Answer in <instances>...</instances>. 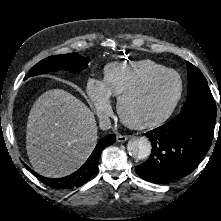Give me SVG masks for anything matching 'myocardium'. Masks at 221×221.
Instances as JSON below:
<instances>
[{"mask_svg": "<svg viewBox=\"0 0 221 221\" xmlns=\"http://www.w3.org/2000/svg\"><path fill=\"white\" fill-rule=\"evenodd\" d=\"M169 74L176 76L178 79V83H179L178 92H177L176 96L174 97V99L172 100V102L170 103V105L165 110H163L161 113H159L158 115H156L154 117L143 119V120H138V119L132 118L126 111L127 103L130 100H132L133 98H135L136 96H138L141 93H143L144 91H146L155 81H157L158 79H160L166 75H169ZM183 90H184L183 80L177 71H175L173 69H164L162 71L154 73V74L150 75L149 77H147L142 82H140L139 84H137L136 86H134L131 89H129L128 91H126L124 94H122L119 97L118 104H117L119 116H120L121 120L128 127L132 128V129L140 130V129L153 128L158 125H161L175 111L176 107L178 106V104L182 98Z\"/></svg>", "mask_w": 221, "mask_h": 221, "instance_id": "1", "label": "myocardium"}]
</instances>
